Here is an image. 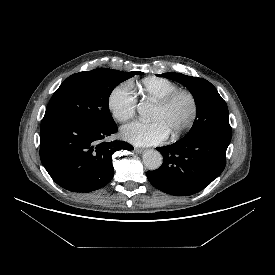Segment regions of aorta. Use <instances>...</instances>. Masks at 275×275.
I'll list each match as a JSON object with an SVG mask.
<instances>
[{
	"label": "aorta",
	"mask_w": 275,
	"mask_h": 275,
	"mask_svg": "<svg viewBox=\"0 0 275 275\" xmlns=\"http://www.w3.org/2000/svg\"><path fill=\"white\" fill-rule=\"evenodd\" d=\"M151 105L142 103L138 106V113L142 118H148L151 112ZM162 155L157 150H147L143 153V163L149 170H156L162 165Z\"/></svg>",
	"instance_id": "obj_1"
}]
</instances>
